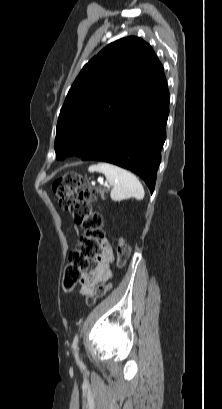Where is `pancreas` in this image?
<instances>
[{
  "label": "pancreas",
  "instance_id": "obj_1",
  "mask_svg": "<svg viewBox=\"0 0 222 409\" xmlns=\"http://www.w3.org/2000/svg\"><path fill=\"white\" fill-rule=\"evenodd\" d=\"M99 192H100L101 198L104 200L105 199L104 194L106 192V189H99Z\"/></svg>",
  "mask_w": 222,
  "mask_h": 409
}]
</instances>
